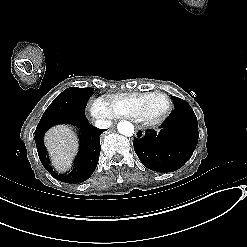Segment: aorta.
Wrapping results in <instances>:
<instances>
[{
    "mask_svg": "<svg viewBox=\"0 0 247 247\" xmlns=\"http://www.w3.org/2000/svg\"><path fill=\"white\" fill-rule=\"evenodd\" d=\"M118 131L124 136H132L134 134V126L129 121H121L118 123Z\"/></svg>",
    "mask_w": 247,
    "mask_h": 247,
    "instance_id": "aorta-1",
    "label": "aorta"
}]
</instances>
